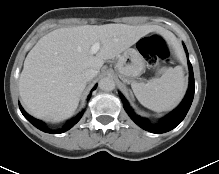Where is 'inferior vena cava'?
Returning <instances> with one entry per match:
<instances>
[{
    "instance_id": "obj_1",
    "label": "inferior vena cava",
    "mask_w": 219,
    "mask_h": 174,
    "mask_svg": "<svg viewBox=\"0 0 219 174\" xmlns=\"http://www.w3.org/2000/svg\"><path fill=\"white\" fill-rule=\"evenodd\" d=\"M97 75V71L95 69H86L83 72V78L86 82L92 80Z\"/></svg>"
}]
</instances>
